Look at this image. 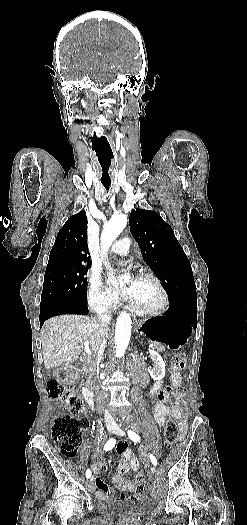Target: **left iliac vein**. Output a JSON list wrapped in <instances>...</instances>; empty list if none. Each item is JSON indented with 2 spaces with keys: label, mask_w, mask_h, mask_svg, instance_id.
<instances>
[{
  "label": "left iliac vein",
  "mask_w": 247,
  "mask_h": 525,
  "mask_svg": "<svg viewBox=\"0 0 247 525\" xmlns=\"http://www.w3.org/2000/svg\"><path fill=\"white\" fill-rule=\"evenodd\" d=\"M114 433L117 435V436H125V433L118 427V426H115L114 427ZM156 468L155 467H151V472L153 474L156 473Z\"/></svg>",
  "instance_id": "4c4485c4"
}]
</instances>
